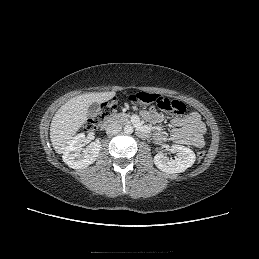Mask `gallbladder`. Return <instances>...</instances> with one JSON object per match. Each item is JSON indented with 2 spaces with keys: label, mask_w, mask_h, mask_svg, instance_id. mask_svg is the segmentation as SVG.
I'll return each mask as SVG.
<instances>
[{
  "label": "gallbladder",
  "mask_w": 259,
  "mask_h": 259,
  "mask_svg": "<svg viewBox=\"0 0 259 259\" xmlns=\"http://www.w3.org/2000/svg\"><path fill=\"white\" fill-rule=\"evenodd\" d=\"M99 109H100L99 103H96V102L92 103L88 108V115L95 116L99 111Z\"/></svg>",
  "instance_id": "1"
}]
</instances>
